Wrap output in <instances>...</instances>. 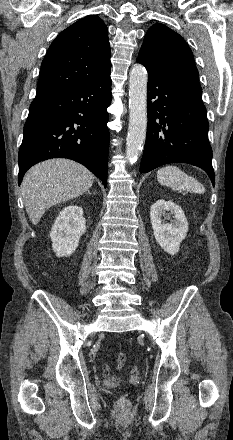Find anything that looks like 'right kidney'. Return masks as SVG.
<instances>
[{"label":"right kidney","mask_w":233,"mask_h":440,"mask_svg":"<svg viewBox=\"0 0 233 440\" xmlns=\"http://www.w3.org/2000/svg\"><path fill=\"white\" fill-rule=\"evenodd\" d=\"M85 231L86 221L83 217V209L77 205L65 207L55 220L50 232L52 249L56 256L72 255Z\"/></svg>","instance_id":"ca27d5eb"}]
</instances>
